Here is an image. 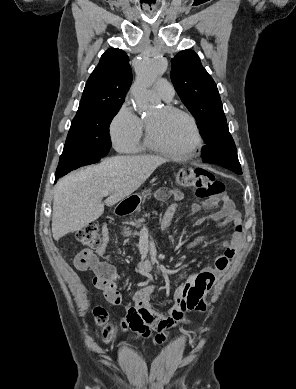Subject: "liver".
Listing matches in <instances>:
<instances>
[{
    "label": "liver",
    "instance_id": "obj_1",
    "mask_svg": "<svg viewBox=\"0 0 296 389\" xmlns=\"http://www.w3.org/2000/svg\"><path fill=\"white\" fill-rule=\"evenodd\" d=\"M166 161L150 155L116 156L60 179L53 199L54 240L97 220L104 213V203L113 206L131 195Z\"/></svg>",
    "mask_w": 296,
    "mask_h": 389
}]
</instances>
